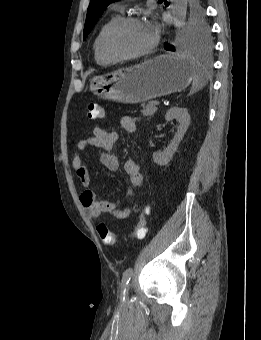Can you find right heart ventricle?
<instances>
[{
	"label": "right heart ventricle",
	"instance_id": "obj_1",
	"mask_svg": "<svg viewBox=\"0 0 261 340\" xmlns=\"http://www.w3.org/2000/svg\"><path fill=\"white\" fill-rule=\"evenodd\" d=\"M120 15L115 13L112 14L111 16H109L105 22L100 26L94 41H93V52H94V58L97 64L101 65V66H108L111 65L113 63H115L116 61L109 58L103 51L102 49V38L105 34V32L107 31V29L114 23L116 22L118 19H120Z\"/></svg>",
	"mask_w": 261,
	"mask_h": 340
}]
</instances>
